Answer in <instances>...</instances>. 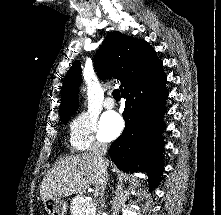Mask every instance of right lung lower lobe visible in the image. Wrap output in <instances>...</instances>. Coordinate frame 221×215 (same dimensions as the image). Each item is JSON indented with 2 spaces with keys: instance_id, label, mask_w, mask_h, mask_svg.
I'll use <instances>...</instances> for the list:
<instances>
[{
  "instance_id": "obj_1",
  "label": "right lung lower lobe",
  "mask_w": 221,
  "mask_h": 215,
  "mask_svg": "<svg viewBox=\"0 0 221 215\" xmlns=\"http://www.w3.org/2000/svg\"><path fill=\"white\" fill-rule=\"evenodd\" d=\"M163 69L135 88L122 93L126 100L123 118L125 129L110 147L112 161L123 171H146L151 187L161 177L164 145L161 138L165 128L162 122L168 97Z\"/></svg>"
}]
</instances>
